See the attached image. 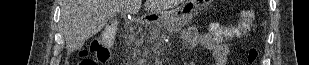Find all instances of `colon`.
Returning a JSON list of instances; mask_svg holds the SVG:
<instances>
[{
	"instance_id": "colon-1",
	"label": "colon",
	"mask_w": 309,
	"mask_h": 65,
	"mask_svg": "<svg viewBox=\"0 0 309 65\" xmlns=\"http://www.w3.org/2000/svg\"><path fill=\"white\" fill-rule=\"evenodd\" d=\"M255 22V11L253 8L240 11L238 24L225 26L213 24L210 30L213 34L223 38H238ZM117 29L112 24L105 27L99 39L91 42L85 54L79 59L78 65H98L107 62L111 55V49L115 43ZM256 48H251L248 53V63L254 64L257 60Z\"/></svg>"
}]
</instances>
